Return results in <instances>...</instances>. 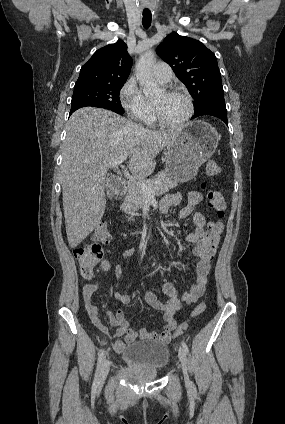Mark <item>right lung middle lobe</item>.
Listing matches in <instances>:
<instances>
[{"instance_id":"1","label":"right lung middle lobe","mask_w":285,"mask_h":424,"mask_svg":"<svg viewBox=\"0 0 285 424\" xmlns=\"http://www.w3.org/2000/svg\"><path fill=\"white\" fill-rule=\"evenodd\" d=\"M125 82L75 85L71 106L87 104L124 113L119 93Z\"/></svg>"}]
</instances>
